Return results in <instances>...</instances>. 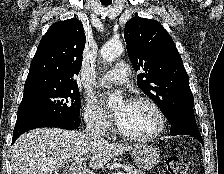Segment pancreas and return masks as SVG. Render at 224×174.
Listing matches in <instances>:
<instances>
[{
  "label": "pancreas",
  "mask_w": 224,
  "mask_h": 174,
  "mask_svg": "<svg viewBox=\"0 0 224 174\" xmlns=\"http://www.w3.org/2000/svg\"><path fill=\"white\" fill-rule=\"evenodd\" d=\"M124 170L126 172L125 174H146V173H143L142 171H140L138 169H135L131 165H125Z\"/></svg>",
  "instance_id": "pancreas-1"
}]
</instances>
